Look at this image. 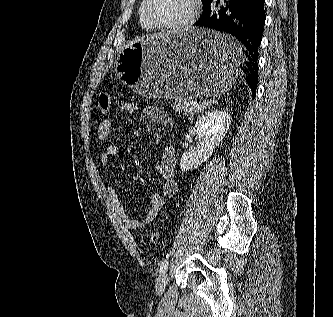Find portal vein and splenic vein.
<instances>
[{
	"mask_svg": "<svg viewBox=\"0 0 333 317\" xmlns=\"http://www.w3.org/2000/svg\"><path fill=\"white\" fill-rule=\"evenodd\" d=\"M210 103H211V101H210ZM192 104L195 105V104H197V102H196V101H193Z\"/></svg>",
	"mask_w": 333,
	"mask_h": 317,
	"instance_id": "portal-vein-and-splenic-vein-1",
	"label": "portal vein and splenic vein"
}]
</instances>
